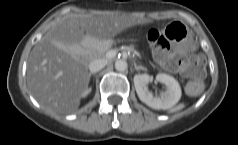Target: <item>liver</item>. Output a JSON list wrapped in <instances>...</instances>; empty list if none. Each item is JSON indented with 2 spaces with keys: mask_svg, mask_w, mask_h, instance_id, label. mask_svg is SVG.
<instances>
[{
  "mask_svg": "<svg viewBox=\"0 0 238 145\" xmlns=\"http://www.w3.org/2000/svg\"><path fill=\"white\" fill-rule=\"evenodd\" d=\"M148 22L136 14L120 12H106L99 16L71 15L61 19L30 53L27 85L31 93L48 110L74 112L90 79V50L82 47L85 34L102 41Z\"/></svg>",
  "mask_w": 238,
  "mask_h": 145,
  "instance_id": "liver-1",
  "label": "liver"
}]
</instances>
